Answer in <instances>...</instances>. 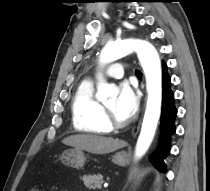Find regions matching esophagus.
I'll use <instances>...</instances> for the list:
<instances>
[{
    "instance_id": "esophagus-1",
    "label": "esophagus",
    "mask_w": 210,
    "mask_h": 191,
    "mask_svg": "<svg viewBox=\"0 0 210 191\" xmlns=\"http://www.w3.org/2000/svg\"><path fill=\"white\" fill-rule=\"evenodd\" d=\"M138 130H139L138 126L133 129V131H132L133 136H135L137 134Z\"/></svg>"
}]
</instances>
